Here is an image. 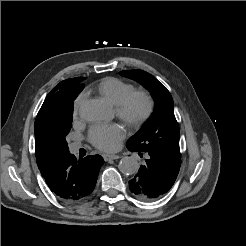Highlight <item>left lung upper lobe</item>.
Wrapping results in <instances>:
<instances>
[{"label": "left lung upper lobe", "instance_id": "5c2ea615", "mask_svg": "<svg viewBox=\"0 0 246 246\" xmlns=\"http://www.w3.org/2000/svg\"><path fill=\"white\" fill-rule=\"evenodd\" d=\"M120 75L139 82L151 92L155 101L154 112L141 129L128 139L126 146L140 152L156 150L181 159L179 125L169 91L154 76L142 70L121 71Z\"/></svg>", "mask_w": 246, "mask_h": 246}]
</instances>
